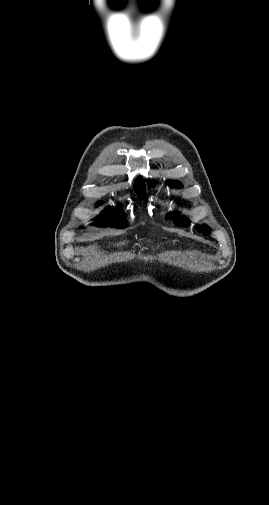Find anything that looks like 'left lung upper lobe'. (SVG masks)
Listing matches in <instances>:
<instances>
[{
    "mask_svg": "<svg viewBox=\"0 0 269 505\" xmlns=\"http://www.w3.org/2000/svg\"><path fill=\"white\" fill-rule=\"evenodd\" d=\"M170 185L172 187H180V183L177 182V181H172L170 182ZM167 219H172L176 225H179V226H183V227H186L189 225V221L188 219H186L184 216H181L180 213L178 212H174L173 214H169V216L167 217ZM198 228V227H196ZM201 230H202V233L204 235H207L209 234V231H210V228L206 225H202L201 227Z\"/></svg>",
    "mask_w": 269,
    "mask_h": 505,
    "instance_id": "left-lung-upper-lobe-1",
    "label": "left lung upper lobe"
}]
</instances>
